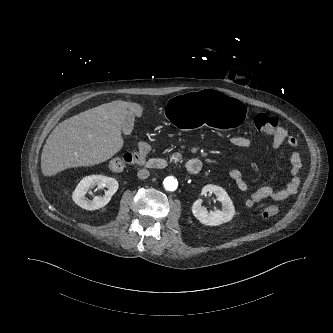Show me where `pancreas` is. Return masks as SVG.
<instances>
[{"instance_id":"1","label":"pancreas","mask_w":333,"mask_h":333,"mask_svg":"<svg viewBox=\"0 0 333 333\" xmlns=\"http://www.w3.org/2000/svg\"><path fill=\"white\" fill-rule=\"evenodd\" d=\"M182 159V155L180 153H174L171 155L170 160L174 162H178Z\"/></svg>"}]
</instances>
